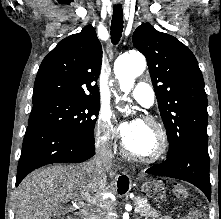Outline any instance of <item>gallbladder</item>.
Listing matches in <instances>:
<instances>
[{"label": "gallbladder", "instance_id": "obj_1", "mask_svg": "<svg viewBox=\"0 0 221 219\" xmlns=\"http://www.w3.org/2000/svg\"><path fill=\"white\" fill-rule=\"evenodd\" d=\"M67 212H68V208L60 209V210L55 214V216L64 215V214L67 213Z\"/></svg>", "mask_w": 221, "mask_h": 219}]
</instances>
